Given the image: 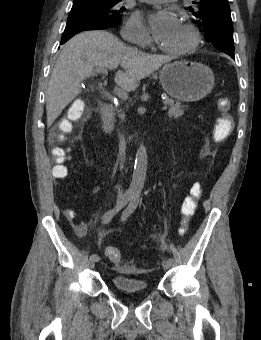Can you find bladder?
Returning a JSON list of instances; mask_svg holds the SVG:
<instances>
[{"label":"bladder","instance_id":"31cf9c89","mask_svg":"<svg viewBox=\"0 0 261 340\" xmlns=\"http://www.w3.org/2000/svg\"><path fill=\"white\" fill-rule=\"evenodd\" d=\"M112 282L115 288L123 294H141L148 290L146 281L136 277L115 276Z\"/></svg>","mask_w":261,"mask_h":340}]
</instances>
